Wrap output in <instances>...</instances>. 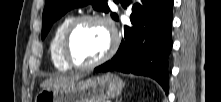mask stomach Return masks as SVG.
<instances>
[{
    "mask_svg": "<svg viewBox=\"0 0 221 102\" xmlns=\"http://www.w3.org/2000/svg\"><path fill=\"white\" fill-rule=\"evenodd\" d=\"M123 87L117 75L105 74L44 88L35 97V102H104L118 96Z\"/></svg>",
    "mask_w": 221,
    "mask_h": 102,
    "instance_id": "0dacf381",
    "label": "stomach"
}]
</instances>
